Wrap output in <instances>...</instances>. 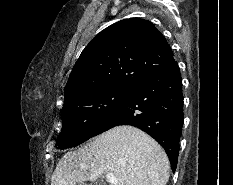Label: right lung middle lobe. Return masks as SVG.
I'll return each mask as SVG.
<instances>
[{
  "mask_svg": "<svg viewBox=\"0 0 233 185\" xmlns=\"http://www.w3.org/2000/svg\"><path fill=\"white\" fill-rule=\"evenodd\" d=\"M130 89L108 88L82 95L62 108L59 149L77 146L92 137L105 118L120 105Z\"/></svg>",
  "mask_w": 233,
  "mask_h": 185,
  "instance_id": "1",
  "label": "right lung middle lobe"
}]
</instances>
